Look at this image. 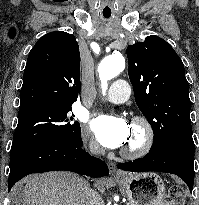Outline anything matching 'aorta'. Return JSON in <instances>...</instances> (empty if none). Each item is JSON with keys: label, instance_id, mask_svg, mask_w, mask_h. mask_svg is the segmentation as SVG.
I'll return each instance as SVG.
<instances>
[{"label": "aorta", "instance_id": "aorta-1", "mask_svg": "<svg viewBox=\"0 0 199 205\" xmlns=\"http://www.w3.org/2000/svg\"><path fill=\"white\" fill-rule=\"evenodd\" d=\"M124 67L125 59L118 53L107 56L101 61L98 66V73L103 92L107 89V81L119 75Z\"/></svg>", "mask_w": 199, "mask_h": 205}]
</instances>
